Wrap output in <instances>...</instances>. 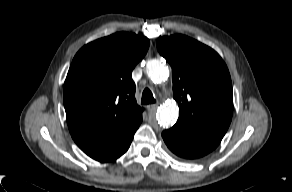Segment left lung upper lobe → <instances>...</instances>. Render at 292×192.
Wrapping results in <instances>:
<instances>
[{
    "label": "left lung upper lobe",
    "instance_id": "5c2ea615",
    "mask_svg": "<svg viewBox=\"0 0 292 192\" xmlns=\"http://www.w3.org/2000/svg\"><path fill=\"white\" fill-rule=\"evenodd\" d=\"M157 48L172 67L180 110L172 128L221 141L233 114L232 83L222 58L184 35L159 37Z\"/></svg>",
    "mask_w": 292,
    "mask_h": 192
}]
</instances>
